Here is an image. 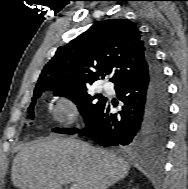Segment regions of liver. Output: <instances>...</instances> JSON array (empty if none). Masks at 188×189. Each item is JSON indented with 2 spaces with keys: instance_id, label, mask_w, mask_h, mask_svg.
Returning <instances> with one entry per match:
<instances>
[{
  "instance_id": "6515ba94",
  "label": "liver",
  "mask_w": 188,
  "mask_h": 189,
  "mask_svg": "<svg viewBox=\"0 0 188 189\" xmlns=\"http://www.w3.org/2000/svg\"><path fill=\"white\" fill-rule=\"evenodd\" d=\"M130 165L116 154L75 139L48 137L23 145L12 164L19 189H107L128 175Z\"/></svg>"
}]
</instances>
